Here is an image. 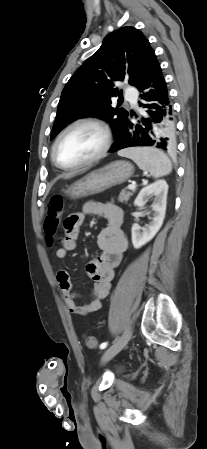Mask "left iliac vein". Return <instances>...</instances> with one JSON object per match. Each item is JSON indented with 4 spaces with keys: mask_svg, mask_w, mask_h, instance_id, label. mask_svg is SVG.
Returning <instances> with one entry per match:
<instances>
[{
    "mask_svg": "<svg viewBox=\"0 0 207 449\" xmlns=\"http://www.w3.org/2000/svg\"><path fill=\"white\" fill-rule=\"evenodd\" d=\"M132 330L128 328L124 334L112 345L110 346L102 356V362H107L117 355L131 339Z\"/></svg>",
    "mask_w": 207,
    "mask_h": 449,
    "instance_id": "1",
    "label": "left iliac vein"
}]
</instances>
